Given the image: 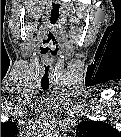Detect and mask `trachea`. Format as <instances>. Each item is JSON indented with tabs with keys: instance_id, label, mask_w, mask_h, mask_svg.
I'll return each mask as SVG.
<instances>
[{
	"instance_id": "obj_1",
	"label": "trachea",
	"mask_w": 121,
	"mask_h": 137,
	"mask_svg": "<svg viewBox=\"0 0 121 137\" xmlns=\"http://www.w3.org/2000/svg\"><path fill=\"white\" fill-rule=\"evenodd\" d=\"M61 17V10L59 4H55L51 10L50 23H49V39H54V35L58 29ZM51 76V66L49 61H44L41 67V87L43 90L49 88Z\"/></svg>"
}]
</instances>
